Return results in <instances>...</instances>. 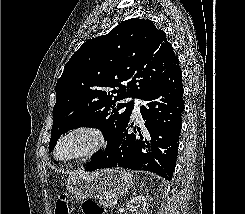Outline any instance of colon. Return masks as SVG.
<instances>
[{
  "mask_svg": "<svg viewBox=\"0 0 245 214\" xmlns=\"http://www.w3.org/2000/svg\"><path fill=\"white\" fill-rule=\"evenodd\" d=\"M84 214H103L104 209L97 202L92 200L84 201L82 205ZM55 214H69V207L66 196H60L56 201Z\"/></svg>",
  "mask_w": 245,
  "mask_h": 214,
  "instance_id": "1",
  "label": "colon"
}]
</instances>
